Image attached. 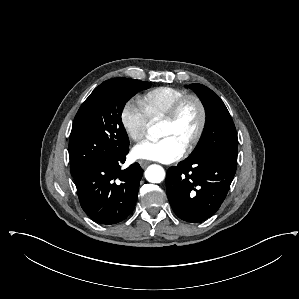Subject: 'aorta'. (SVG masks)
I'll use <instances>...</instances> for the list:
<instances>
[{
  "mask_svg": "<svg viewBox=\"0 0 299 299\" xmlns=\"http://www.w3.org/2000/svg\"><path fill=\"white\" fill-rule=\"evenodd\" d=\"M148 133L153 139H157L161 136V132L156 126H151L148 129ZM145 178L151 183H160L165 178V171L159 165H151L145 171Z\"/></svg>",
  "mask_w": 299,
  "mask_h": 299,
  "instance_id": "aorta-1",
  "label": "aorta"
}]
</instances>
